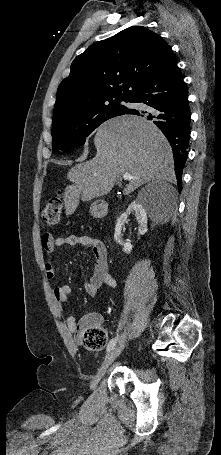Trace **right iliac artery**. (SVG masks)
I'll return each mask as SVG.
<instances>
[{"label":"right iliac artery","instance_id":"82829eb1","mask_svg":"<svg viewBox=\"0 0 221 455\" xmlns=\"http://www.w3.org/2000/svg\"><path fill=\"white\" fill-rule=\"evenodd\" d=\"M115 345H116V339H112L107 346V352H110L115 347Z\"/></svg>","mask_w":221,"mask_h":455}]
</instances>
